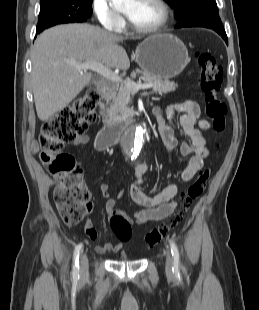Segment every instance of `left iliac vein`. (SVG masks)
Returning <instances> with one entry per match:
<instances>
[{
    "instance_id": "4c4485c4",
    "label": "left iliac vein",
    "mask_w": 259,
    "mask_h": 310,
    "mask_svg": "<svg viewBox=\"0 0 259 310\" xmlns=\"http://www.w3.org/2000/svg\"><path fill=\"white\" fill-rule=\"evenodd\" d=\"M165 255H166V266H165L166 273L172 274V272H173V260H172L171 254L168 250H166Z\"/></svg>"
}]
</instances>
